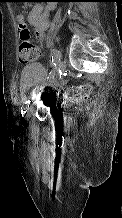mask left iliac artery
I'll return each mask as SVG.
<instances>
[{
  "label": "left iliac artery",
  "instance_id": "left-iliac-artery-1",
  "mask_svg": "<svg viewBox=\"0 0 122 218\" xmlns=\"http://www.w3.org/2000/svg\"><path fill=\"white\" fill-rule=\"evenodd\" d=\"M60 59H61V54H60L59 50L52 49L51 50V61H52L53 69L50 71L48 77L46 78V81H45L44 86L42 87V89L44 87L50 85V82H51V80L54 77V68L59 64ZM30 102L31 101L29 99L24 102L23 106L21 107V114L26 113L27 108L29 107Z\"/></svg>",
  "mask_w": 122,
  "mask_h": 218
}]
</instances>
